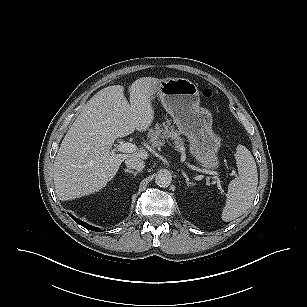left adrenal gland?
<instances>
[{
    "mask_svg": "<svg viewBox=\"0 0 307 307\" xmlns=\"http://www.w3.org/2000/svg\"><path fill=\"white\" fill-rule=\"evenodd\" d=\"M182 175L184 176V178H185V180H186V184H187L188 186L194 185V183L190 182L188 175H187L184 171H182Z\"/></svg>",
    "mask_w": 307,
    "mask_h": 307,
    "instance_id": "1",
    "label": "left adrenal gland"
}]
</instances>
